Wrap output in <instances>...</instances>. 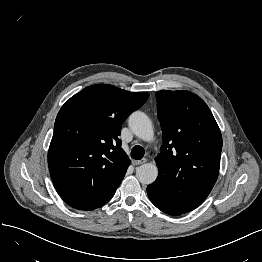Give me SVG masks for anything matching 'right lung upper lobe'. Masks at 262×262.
<instances>
[{"instance_id": "1", "label": "right lung upper lobe", "mask_w": 262, "mask_h": 262, "mask_svg": "<svg viewBox=\"0 0 262 262\" xmlns=\"http://www.w3.org/2000/svg\"><path fill=\"white\" fill-rule=\"evenodd\" d=\"M109 84L84 88L60 109L48 152L53 184L60 197L80 210L107 203L130 160L121 148V126L147 100Z\"/></svg>"}]
</instances>
